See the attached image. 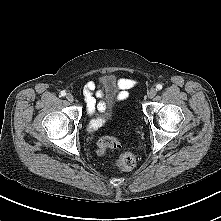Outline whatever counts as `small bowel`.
I'll list each match as a JSON object with an SVG mask.
<instances>
[{"label":"small bowel","mask_w":221,"mask_h":221,"mask_svg":"<svg viewBox=\"0 0 221 221\" xmlns=\"http://www.w3.org/2000/svg\"><path fill=\"white\" fill-rule=\"evenodd\" d=\"M117 85L120 89L117 98L119 100L124 99L128 96L129 94V90L133 87L134 85V81L131 79H119L117 81ZM96 91V95L101 97L102 96V92L100 90L97 89V86L94 82H88L86 87H85V101H86V105H87V110L89 114H92L95 112V110H99V111H104L105 110V104L103 102H100L96 105L95 99L92 96V93ZM103 123L102 119H98L93 121L92 126L93 127H97L100 126Z\"/></svg>","instance_id":"obj_1"}]
</instances>
